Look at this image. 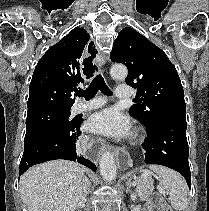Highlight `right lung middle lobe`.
<instances>
[{
    "label": "right lung middle lobe",
    "mask_w": 209,
    "mask_h": 211,
    "mask_svg": "<svg viewBox=\"0 0 209 211\" xmlns=\"http://www.w3.org/2000/svg\"><path fill=\"white\" fill-rule=\"evenodd\" d=\"M71 108H43L28 112L26 118V135L24 149L28 148L38 139L55 129L68 126L77 120L70 119Z\"/></svg>",
    "instance_id": "dd1d6c3e"
}]
</instances>
